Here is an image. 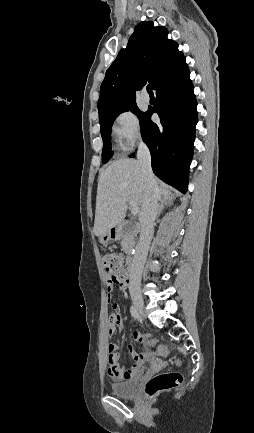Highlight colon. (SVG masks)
<instances>
[{"mask_svg": "<svg viewBox=\"0 0 254 433\" xmlns=\"http://www.w3.org/2000/svg\"><path fill=\"white\" fill-rule=\"evenodd\" d=\"M103 264L107 273L108 284L126 282L128 271L125 258L118 253H106L103 255ZM181 375L178 372H162L152 377L145 386V394L148 398L171 390L181 383Z\"/></svg>", "mask_w": 254, "mask_h": 433, "instance_id": "colon-1", "label": "colon"}]
</instances>
